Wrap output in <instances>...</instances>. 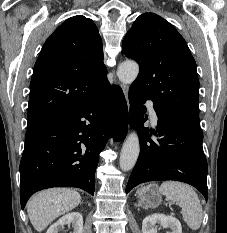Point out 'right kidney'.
<instances>
[{
	"label": "right kidney",
	"instance_id": "obj_1",
	"mask_svg": "<svg viewBox=\"0 0 227 233\" xmlns=\"http://www.w3.org/2000/svg\"><path fill=\"white\" fill-rule=\"evenodd\" d=\"M72 224L73 233H82L83 217L79 212H71L61 217L56 223L52 224L46 233H58L59 229L64 225Z\"/></svg>",
	"mask_w": 227,
	"mask_h": 233
}]
</instances>
